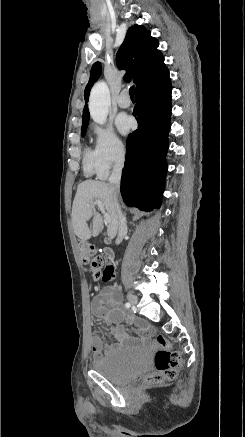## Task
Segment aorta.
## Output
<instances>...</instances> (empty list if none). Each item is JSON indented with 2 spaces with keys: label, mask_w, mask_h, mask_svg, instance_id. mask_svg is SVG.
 <instances>
[{
  "label": "aorta",
  "mask_w": 245,
  "mask_h": 437,
  "mask_svg": "<svg viewBox=\"0 0 245 437\" xmlns=\"http://www.w3.org/2000/svg\"><path fill=\"white\" fill-rule=\"evenodd\" d=\"M109 106V88L105 82H97L93 86L89 98V112L93 121L98 124H104L107 119Z\"/></svg>",
  "instance_id": "762f6f07"
}]
</instances>
